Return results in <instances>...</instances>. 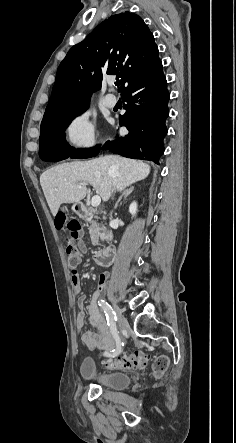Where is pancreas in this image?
<instances>
[{"instance_id":"1","label":"pancreas","mask_w":236,"mask_h":443,"mask_svg":"<svg viewBox=\"0 0 236 443\" xmlns=\"http://www.w3.org/2000/svg\"><path fill=\"white\" fill-rule=\"evenodd\" d=\"M89 234L93 245H99V239L102 240L105 236V228L100 225L96 220H89Z\"/></svg>"}]
</instances>
